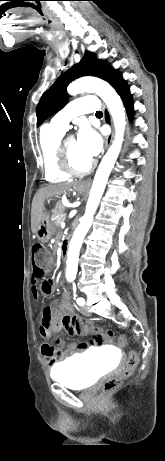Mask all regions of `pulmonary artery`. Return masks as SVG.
I'll list each match as a JSON object with an SVG mask.
<instances>
[{
  "mask_svg": "<svg viewBox=\"0 0 165 461\" xmlns=\"http://www.w3.org/2000/svg\"><path fill=\"white\" fill-rule=\"evenodd\" d=\"M100 104L95 97H82L71 101L51 120V124L63 131L68 129L70 120L80 114L97 112Z\"/></svg>",
  "mask_w": 165,
  "mask_h": 461,
  "instance_id": "obj_1",
  "label": "pulmonary artery"
}]
</instances>
